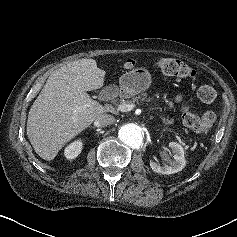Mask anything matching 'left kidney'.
Listing matches in <instances>:
<instances>
[{
  "label": "left kidney",
  "instance_id": "5707ae66",
  "mask_svg": "<svg viewBox=\"0 0 237 237\" xmlns=\"http://www.w3.org/2000/svg\"><path fill=\"white\" fill-rule=\"evenodd\" d=\"M169 148L174 153L173 160L166 158L168 164L163 167L151 161L150 167L154 172L162 174H173L181 171L185 167L186 161L184 157L183 147L176 142H170Z\"/></svg>",
  "mask_w": 237,
  "mask_h": 237
}]
</instances>
